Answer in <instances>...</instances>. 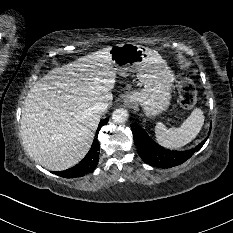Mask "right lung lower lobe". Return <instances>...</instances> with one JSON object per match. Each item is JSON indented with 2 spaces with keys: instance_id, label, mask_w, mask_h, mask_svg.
<instances>
[{
  "instance_id": "obj_1",
  "label": "right lung lower lobe",
  "mask_w": 233,
  "mask_h": 233,
  "mask_svg": "<svg viewBox=\"0 0 233 233\" xmlns=\"http://www.w3.org/2000/svg\"><path fill=\"white\" fill-rule=\"evenodd\" d=\"M108 122V119L101 120L98 129H100L103 125ZM100 146L97 139H94V142L88 152V154L80 161L79 164L75 165L74 167L60 172H54V174L65 177V178H76L81 177L89 172H92L100 158Z\"/></svg>"
}]
</instances>
